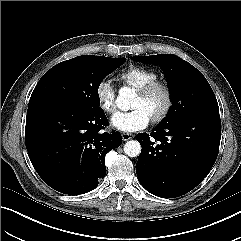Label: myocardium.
<instances>
[{
  "mask_svg": "<svg viewBox=\"0 0 241 241\" xmlns=\"http://www.w3.org/2000/svg\"><path fill=\"white\" fill-rule=\"evenodd\" d=\"M156 91H161L164 95V105L161 110L151 117V121L159 123L170 113L173 106V92L168 83L155 80L137 89V94L141 97H148Z\"/></svg>",
  "mask_w": 241,
  "mask_h": 241,
  "instance_id": "f54148a6",
  "label": "myocardium"
}]
</instances>
